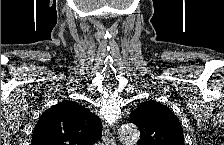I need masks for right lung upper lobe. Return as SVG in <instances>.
<instances>
[{
    "label": "right lung upper lobe",
    "mask_w": 224,
    "mask_h": 145,
    "mask_svg": "<svg viewBox=\"0 0 224 145\" xmlns=\"http://www.w3.org/2000/svg\"><path fill=\"white\" fill-rule=\"evenodd\" d=\"M102 136L101 120L77 102L64 100L37 122L32 145H93Z\"/></svg>",
    "instance_id": "obj_1"
}]
</instances>
